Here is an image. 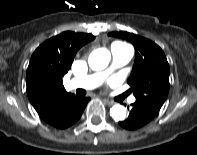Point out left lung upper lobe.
I'll return each mask as SVG.
<instances>
[{
  "label": "left lung upper lobe",
  "mask_w": 197,
  "mask_h": 155,
  "mask_svg": "<svg viewBox=\"0 0 197 155\" xmlns=\"http://www.w3.org/2000/svg\"><path fill=\"white\" fill-rule=\"evenodd\" d=\"M109 36L131 42L136 58L128 84L139 102L159 112L169 91V64L162 49L154 42L126 31L111 32Z\"/></svg>",
  "instance_id": "1"
}]
</instances>
